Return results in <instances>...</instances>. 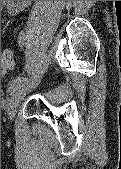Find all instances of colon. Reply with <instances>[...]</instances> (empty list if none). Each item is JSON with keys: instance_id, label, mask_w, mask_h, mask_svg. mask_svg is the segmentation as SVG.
<instances>
[{"instance_id": "1", "label": "colon", "mask_w": 121, "mask_h": 169, "mask_svg": "<svg viewBox=\"0 0 121 169\" xmlns=\"http://www.w3.org/2000/svg\"><path fill=\"white\" fill-rule=\"evenodd\" d=\"M14 64V56L13 52L10 49L3 50L1 54V72H5L6 70L12 68Z\"/></svg>"}]
</instances>
